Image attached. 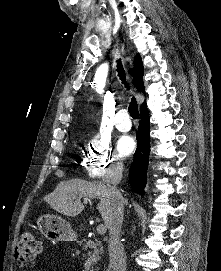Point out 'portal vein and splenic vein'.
Wrapping results in <instances>:
<instances>
[{"label":"portal vein and splenic vein","instance_id":"18ae733b","mask_svg":"<svg viewBox=\"0 0 221 271\" xmlns=\"http://www.w3.org/2000/svg\"><path fill=\"white\" fill-rule=\"evenodd\" d=\"M84 199L86 201L87 197H84ZM97 231H98V234H105V227H104V225H98Z\"/></svg>","mask_w":221,"mask_h":271}]
</instances>
